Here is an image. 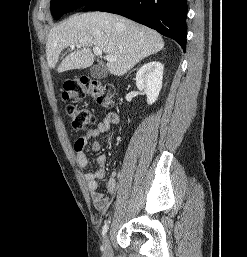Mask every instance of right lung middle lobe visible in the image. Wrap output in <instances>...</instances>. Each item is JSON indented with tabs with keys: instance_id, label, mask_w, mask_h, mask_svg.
<instances>
[{
	"instance_id": "obj_1",
	"label": "right lung middle lobe",
	"mask_w": 247,
	"mask_h": 257,
	"mask_svg": "<svg viewBox=\"0 0 247 257\" xmlns=\"http://www.w3.org/2000/svg\"><path fill=\"white\" fill-rule=\"evenodd\" d=\"M92 1L93 0H51V13L53 17L58 20L65 13L84 7Z\"/></svg>"
}]
</instances>
